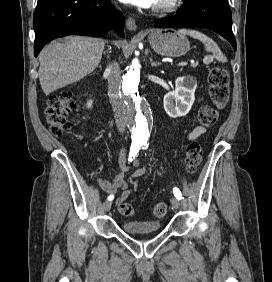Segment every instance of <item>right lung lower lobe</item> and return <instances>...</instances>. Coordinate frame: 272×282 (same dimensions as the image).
Listing matches in <instances>:
<instances>
[{
	"mask_svg": "<svg viewBox=\"0 0 272 282\" xmlns=\"http://www.w3.org/2000/svg\"><path fill=\"white\" fill-rule=\"evenodd\" d=\"M33 26L35 57L47 43L62 36L95 37L111 28L124 36L123 15L110 0H38Z\"/></svg>",
	"mask_w": 272,
	"mask_h": 282,
	"instance_id": "98d812e1",
	"label": "right lung lower lobe"
}]
</instances>
